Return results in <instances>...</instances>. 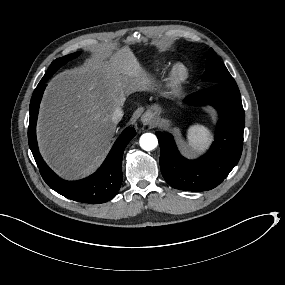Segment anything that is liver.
Returning <instances> with one entry per match:
<instances>
[{
    "label": "liver",
    "instance_id": "liver-1",
    "mask_svg": "<svg viewBox=\"0 0 285 285\" xmlns=\"http://www.w3.org/2000/svg\"><path fill=\"white\" fill-rule=\"evenodd\" d=\"M152 83L125 47L109 61L94 53L82 66L57 74L45 90L37 124L45 161L65 179L88 174L116 130L114 111Z\"/></svg>",
    "mask_w": 285,
    "mask_h": 285
}]
</instances>
